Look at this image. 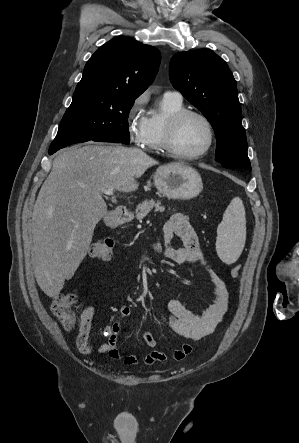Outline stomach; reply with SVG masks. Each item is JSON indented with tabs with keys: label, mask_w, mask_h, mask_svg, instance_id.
Listing matches in <instances>:
<instances>
[{
	"label": "stomach",
	"mask_w": 299,
	"mask_h": 443,
	"mask_svg": "<svg viewBox=\"0 0 299 443\" xmlns=\"http://www.w3.org/2000/svg\"><path fill=\"white\" fill-rule=\"evenodd\" d=\"M153 180L157 190L169 199H192L198 196L203 189L199 173L182 163L160 166L156 170ZM118 224H120L119 220L113 221V225Z\"/></svg>",
	"instance_id": "obj_1"
}]
</instances>
